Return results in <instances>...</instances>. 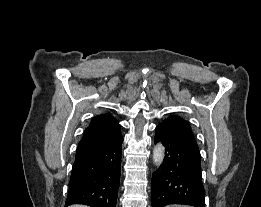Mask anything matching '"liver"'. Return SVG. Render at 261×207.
I'll return each instance as SVG.
<instances>
[{
  "mask_svg": "<svg viewBox=\"0 0 261 207\" xmlns=\"http://www.w3.org/2000/svg\"><path fill=\"white\" fill-rule=\"evenodd\" d=\"M70 207H88V206H83V205H73V206H70Z\"/></svg>",
  "mask_w": 261,
  "mask_h": 207,
  "instance_id": "6515ba94",
  "label": "liver"
}]
</instances>
